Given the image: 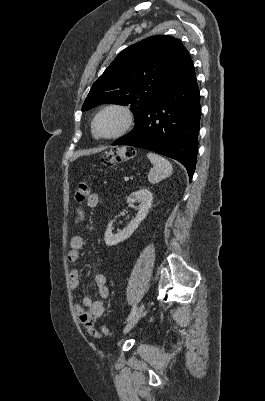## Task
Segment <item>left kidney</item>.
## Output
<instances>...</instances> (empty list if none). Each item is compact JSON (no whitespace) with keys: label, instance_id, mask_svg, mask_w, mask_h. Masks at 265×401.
<instances>
[{"label":"left kidney","instance_id":"1","mask_svg":"<svg viewBox=\"0 0 265 401\" xmlns=\"http://www.w3.org/2000/svg\"><path fill=\"white\" fill-rule=\"evenodd\" d=\"M141 203L139 207H136L138 213L135 219L130 221L129 225L120 231V233H116L113 235V221H109L104 237V241L108 247H112V245H118L121 241H125V239H129L130 235L136 231L137 227H139L141 221L145 219L148 215L149 209L152 207L153 203V194L148 190V188H140V190H135V192H131L127 198L128 205H132V203Z\"/></svg>","mask_w":265,"mask_h":401}]
</instances>
